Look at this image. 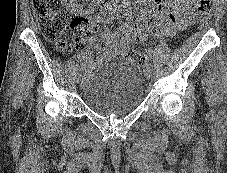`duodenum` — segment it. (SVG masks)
I'll return each instance as SVG.
<instances>
[{"label": "duodenum", "mask_w": 227, "mask_h": 173, "mask_svg": "<svg viewBox=\"0 0 227 173\" xmlns=\"http://www.w3.org/2000/svg\"><path fill=\"white\" fill-rule=\"evenodd\" d=\"M133 1L134 0H126V4L130 5ZM102 12L104 17L109 20L116 17L121 12V8L112 5H106L104 6Z\"/></svg>", "instance_id": "1"}]
</instances>
